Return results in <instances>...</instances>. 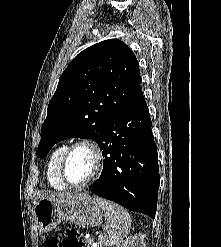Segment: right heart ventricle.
<instances>
[{
  "label": "right heart ventricle",
  "instance_id": "obj_1",
  "mask_svg": "<svg viewBox=\"0 0 221 247\" xmlns=\"http://www.w3.org/2000/svg\"><path fill=\"white\" fill-rule=\"evenodd\" d=\"M68 145L63 143L58 145L51 153L47 165V180L51 187L56 190H65L68 186L60 177V163L61 159L67 149Z\"/></svg>",
  "mask_w": 221,
  "mask_h": 247
}]
</instances>
